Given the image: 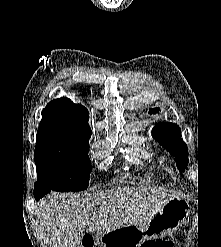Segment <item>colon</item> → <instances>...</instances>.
I'll return each instance as SVG.
<instances>
[{
    "instance_id": "colon-1",
    "label": "colon",
    "mask_w": 221,
    "mask_h": 247,
    "mask_svg": "<svg viewBox=\"0 0 221 247\" xmlns=\"http://www.w3.org/2000/svg\"><path fill=\"white\" fill-rule=\"evenodd\" d=\"M94 243L91 240H87L83 247H93ZM141 247H174V244L172 241L164 240L163 242L153 243L151 241H146L142 244Z\"/></svg>"
}]
</instances>
